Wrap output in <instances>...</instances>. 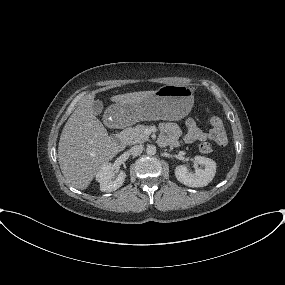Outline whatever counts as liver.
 Wrapping results in <instances>:
<instances>
[{
  "mask_svg": "<svg viewBox=\"0 0 285 285\" xmlns=\"http://www.w3.org/2000/svg\"><path fill=\"white\" fill-rule=\"evenodd\" d=\"M155 91H139L112 96V102L127 104L145 99ZM94 95L85 96L66 122L59 140L58 160L67 181L86 189L100 167L111 160L119 146L110 139L92 110Z\"/></svg>",
  "mask_w": 285,
  "mask_h": 285,
  "instance_id": "6515ba94",
  "label": "liver"
}]
</instances>
